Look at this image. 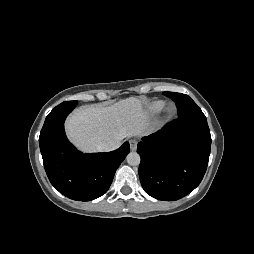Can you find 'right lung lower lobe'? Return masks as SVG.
Listing matches in <instances>:
<instances>
[{"instance_id": "obj_1", "label": "right lung lower lobe", "mask_w": 254, "mask_h": 254, "mask_svg": "<svg viewBox=\"0 0 254 254\" xmlns=\"http://www.w3.org/2000/svg\"><path fill=\"white\" fill-rule=\"evenodd\" d=\"M76 105L65 101L50 112L40 132L39 145L51 184L70 199L91 201L107 192L130 147L125 142L107 153L83 154L76 150L64 131L65 118Z\"/></svg>"}]
</instances>
